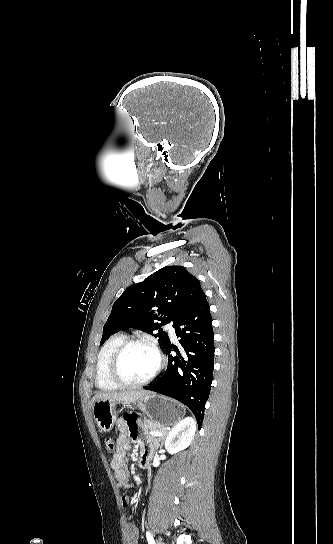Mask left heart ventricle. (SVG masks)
Returning a JSON list of instances; mask_svg holds the SVG:
<instances>
[{"label":"left heart ventricle","instance_id":"1","mask_svg":"<svg viewBox=\"0 0 333 544\" xmlns=\"http://www.w3.org/2000/svg\"><path fill=\"white\" fill-rule=\"evenodd\" d=\"M156 364L157 359L151 349L143 345H135L123 355L120 362V373L125 380L137 382L150 376Z\"/></svg>","mask_w":333,"mask_h":544}]
</instances>
